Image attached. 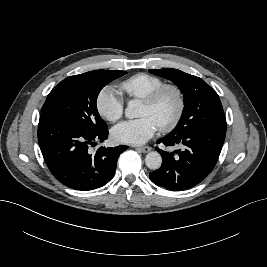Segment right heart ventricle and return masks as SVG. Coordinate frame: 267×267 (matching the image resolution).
<instances>
[{
	"label": "right heart ventricle",
	"mask_w": 267,
	"mask_h": 267,
	"mask_svg": "<svg viewBox=\"0 0 267 267\" xmlns=\"http://www.w3.org/2000/svg\"><path fill=\"white\" fill-rule=\"evenodd\" d=\"M165 84L160 77L147 74H134L120 83V90L131 99H144L158 87Z\"/></svg>",
	"instance_id": "right-heart-ventricle-1"
}]
</instances>
